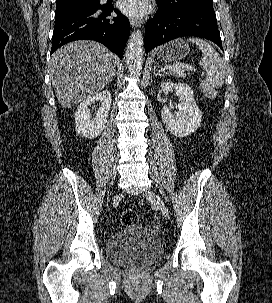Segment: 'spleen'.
Returning a JSON list of instances; mask_svg holds the SVG:
<instances>
[{
    "label": "spleen",
    "mask_w": 272,
    "mask_h": 303,
    "mask_svg": "<svg viewBox=\"0 0 272 303\" xmlns=\"http://www.w3.org/2000/svg\"><path fill=\"white\" fill-rule=\"evenodd\" d=\"M187 41L196 44L202 52L200 67L206 71V77L200 83L205 97L214 99L217 96L218 87L224 83L226 74V62L220 57L217 51L206 41L199 38H189Z\"/></svg>",
    "instance_id": "obj_1"
}]
</instances>
